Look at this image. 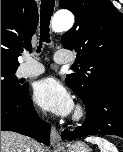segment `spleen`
Masks as SVG:
<instances>
[{
    "label": "spleen",
    "mask_w": 123,
    "mask_h": 152,
    "mask_svg": "<svg viewBox=\"0 0 123 152\" xmlns=\"http://www.w3.org/2000/svg\"><path fill=\"white\" fill-rule=\"evenodd\" d=\"M86 141L97 144L100 152H118L116 146L108 140L101 137H87Z\"/></svg>",
    "instance_id": "obj_1"
}]
</instances>
